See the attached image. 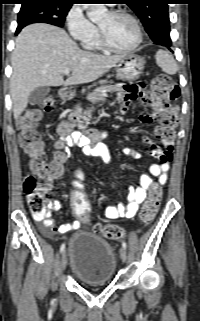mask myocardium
I'll return each instance as SVG.
<instances>
[{"instance_id":"1","label":"myocardium","mask_w":200,"mask_h":321,"mask_svg":"<svg viewBox=\"0 0 200 321\" xmlns=\"http://www.w3.org/2000/svg\"><path fill=\"white\" fill-rule=\"evenodd\" d=\"M109 14L112 17H126L130 19L135 25L136 32H137V39L135 43L128 48H117L110 43L104 31L98 26L97 33H98V39L101 47L109 52L118 53V54H126V53H131L135 51L143 41V30L138 18L125 10H114V11H111Z\"/></svg>"}]
</instances>
